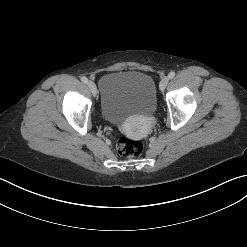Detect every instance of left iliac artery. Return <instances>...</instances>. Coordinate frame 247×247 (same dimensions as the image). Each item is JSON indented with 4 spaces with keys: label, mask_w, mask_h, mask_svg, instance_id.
<instances>
[{
    "label": "left iliac artery",
    "mask_w": 247,
    "mask_h": 247,
    "mask_svg": "<svg viewBox=\"0 0 247 247\" xmlns=\"http://www.w3.org/2000/svg\"><path fill=\"white\" fill-rule=\"evenodd\" d=\"M174 76H175V72H174V71H171V72L169 73V75H168V77H169L170 79L174 78Z\"/></svg>",
    "instance_id": "44dca946"
}]
</instances>
